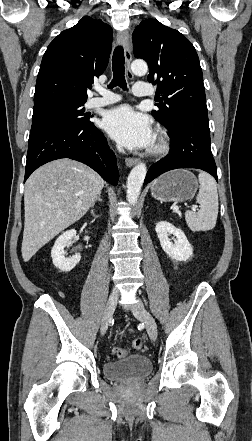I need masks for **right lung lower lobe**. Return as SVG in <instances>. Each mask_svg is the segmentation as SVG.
Here are the masks:
<instances>
[{
	"instance_id": "98d812e1",
	"label": "right lung lower lobe",
	"mask_w": 252,
	"mask_h": 441,
	"mask_svg": "<svg viewBox=\"0 0 252 441\" xmlns=\"http://www.w3.org/2000/svg\"><path fill=\"white\" fill-rule=\"evenodd\" d=\"M60 158L80 161L94 169L109 183H118L119 172L115 154L108 148L103 133L91 121L82 125H32L24 182L39 166Z\"/></svg>"
}]
</instances>
